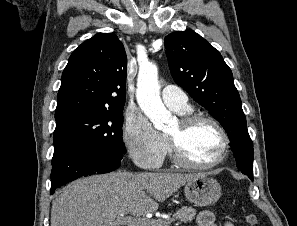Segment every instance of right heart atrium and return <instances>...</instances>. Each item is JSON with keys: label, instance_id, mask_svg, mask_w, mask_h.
<instances>
[{"label": "right heart atrium", "instance_id": "obj_1", "mask_svg": "<svg viewBox=\"0 0 297 226\" xmlns=\"http://www.w3.org/2000/svg\"><path fill=\"white\" fill-rule=\"evenodd\" d=\"M123 141L131 159L144 169L158 167L168 150L165 137L138 109L127 113Z\"/></svg>", "mask_w": 297, "mask_h": 226}]
</instances>
